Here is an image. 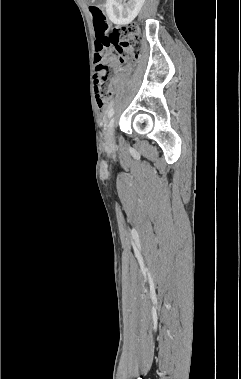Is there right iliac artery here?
Segmentation results:
<instances>
[{
    "label": "right iliac artery",
    "instance_id": "right-iliac-artery-1",
    "mask_svg": "<svg viewBox=\"0 0 241 379\" xmlns=\"http://www.w3.org/2000/svg\"><path fill=\"white\" fill-rule=\"evenodd\" d=\"M113 113H114V109L111 108V109L109 110V112H108V117H109V118L112 117Z\"/></svg>",
    "mask_w": 241,
    "mask_h": 379
}]
</instances>
